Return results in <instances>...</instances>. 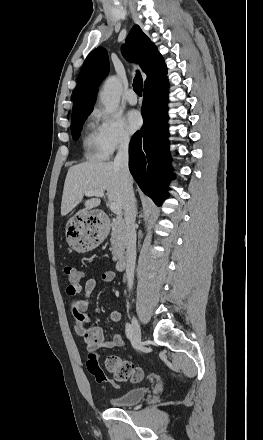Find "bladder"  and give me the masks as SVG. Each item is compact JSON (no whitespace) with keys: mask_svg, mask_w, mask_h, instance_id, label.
<instances>
[{"mask_svg":"<svg viewBox=\"0 0 263 440\" xmlns=\"http://www.w3.org/2000/svg\"><path fill=\"white\" fill-rule=\"evenodd\" d=\"M145 387H134L110 400L114 407H128L140 402L146 395Z\"/></svg>","mask_w":263,"mask_h":440,"instance_id":"bladder-1","label":"bladder"}]
</instances>
